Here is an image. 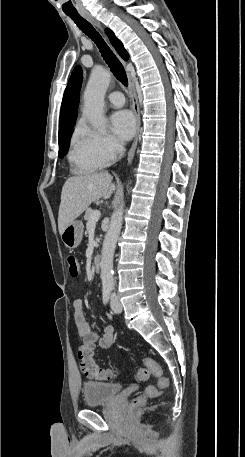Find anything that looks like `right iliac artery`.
<instances>
[{"mask_svg":"<svg viewBox=\"0 0 245 457\" xmlns=\"http://www.w3.org/2000/svg\"><path fill=\"white\" fill-rule=\"evenodd\" d=\"M111 288L109 287H106V288H103V302L104 304H107L109 299H110V295H111Z\"/></svg>","mask_w":245,"mask_h":457,"instance_id":"1","label":"right iliac artery"}]
</instances>
